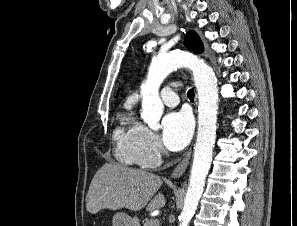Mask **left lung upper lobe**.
<instances>
[{
  "label": "left lung upper lobe",
  "instance_id": "5c2ea615",
  "mask_svg": "<svg viewBox=\"0 0 297 226\" xmlns=\"http://www.w3.org/2000/svg\"><path fill=\"white\" fill-rule=\"evenodd\" d=\"M185 46L196 53L203 52V44L199 36L194 31H189L184 40Z\"/></svg>",
  "mask_w": 297,
  "mask_h": 226
}]
</instances>
